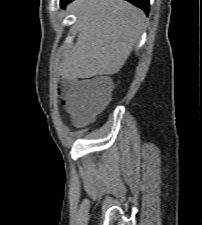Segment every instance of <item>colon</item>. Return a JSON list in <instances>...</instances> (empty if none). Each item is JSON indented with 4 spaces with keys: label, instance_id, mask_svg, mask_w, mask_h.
I'll return each mask as SVG.
<instances>
[{
    "label": "colon",
    "instance_id": "obj_1",
    "mask_svg": "<svg viewBox=\"0 0 202 225\" xmlns=\"http://www.w3.org/2000/svg\"><path fill=\"white\" fill-rule=\"evenodd\" d=\"M68 87L86 98L87 107L91 112L104 108L110 101L113 91L112 85L102 83L99 78L73 80L68 83Z\"/></svg>",
    "mask_w": 202,
    "mask_h": 225
}]
</instances>
